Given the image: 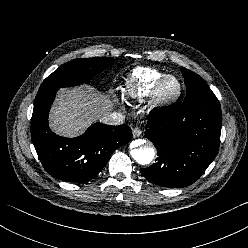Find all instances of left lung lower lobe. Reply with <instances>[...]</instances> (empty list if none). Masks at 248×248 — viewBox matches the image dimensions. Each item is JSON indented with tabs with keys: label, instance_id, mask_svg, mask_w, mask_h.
Listing matches in <instances>:
<instances>
[{
	"label": "left lung lower lobe",
	"instance_id": "obj_1",
	"mask_svg": "<svg viewBox=\"0 0 248 248\" xmlns=\"http://www.w3.org/2000/svg\"><path fill=\"white\" fill-rule=\"evenodd\" d=\"M146 137L157 148L156 163L141 169L150 182L164 187L194 183L217 155L221 107L214 96L183 102L148 117Z\"/></svg>",
	"mask_w": 248,
	"mask_h": 248
}]
</instances>
